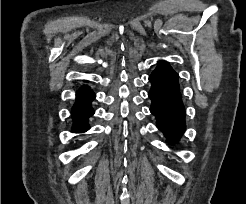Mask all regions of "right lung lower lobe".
<instances>
[{"label": "right lung lower lobe", "instance_id": "right-lung-lower-lobe-1", "mask_svg": "<svg viewBox=\"0 0 246 204\" xmlns=\"http://www.w3.org/2000/svg\"><path fill=\"white\" fill-rule=\"evenodd\" d=\"M94 98L95 94L88 87H82L78 90L76 102L72 108V117L75 121L73 125L74 132H85L89 129L87 119L94 114L91 107V101Z\"/></svg>", "mask_w": 246, "mask_h": 204}]
</instances>
